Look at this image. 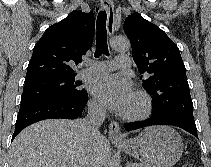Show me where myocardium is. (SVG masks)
Wrapping results in <instances>:
<instances>
[{
    "label": "myocardium",
    "instance_id": "f54148a6",
    "mask_svg": "<svg viewBox=\"0 0 211 167\" xmlns=\"http://www.w3.org/2000/svg\"><path fill=\"white\" fill-rule=\"evenodd\" d=\"M133 99L138 105V109L134 112H124L123 118L129 121H139L147 118L152 111V99L148 93L137 90L133 94Z\"/></svg>",
    "mask_w": 211,
    "mask_h": 167
}]
</instances>
